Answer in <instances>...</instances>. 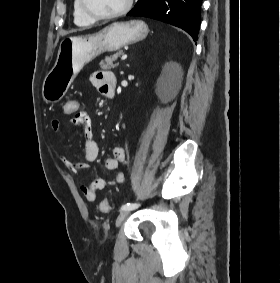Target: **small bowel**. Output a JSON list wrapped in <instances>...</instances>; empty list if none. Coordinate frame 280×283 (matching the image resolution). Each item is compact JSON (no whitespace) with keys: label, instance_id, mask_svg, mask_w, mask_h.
<instances>
[{"label":"small bowel","instance_id":"obj_1","mask_svg":"<svg viewBox=\"0 0 280 283\" xmlns=\"http://www.w3.org/2000/svg\"><path fill=\"white\" fill-rule=\"evenodd\" d=\"M93 84L98 88L99 92L103 95H108V91L111 85L115 84L114 76L109 71H99L94 74L92 78ZM80 104V103H79ZM89 114L86 110L80 112H74L71 120L74 123L83 125V145H84V158L85 162H77L68 157H62L61 161L63 165L71 173H78L81 170L89 168V162H93L98 157L99 148L97 143L93 139L91 126L88 124ZM51 128L54 131H59L61 128V121L59 119L51 120ZM125 154L121 147H114L111 154L105 159V168L109 171H115L114 175L110 179L97 178L91 182L90 185H81L80 189L84 197L88 201H94L97 197V193L106 189L107 187L119 184L124 180V173L120 170L119 164L124 161Z\"/></svg>","mask_w":280,"mask_h":283}]
</instances>
